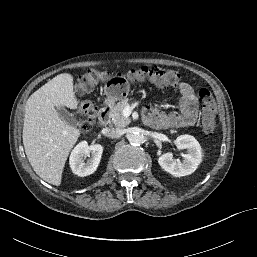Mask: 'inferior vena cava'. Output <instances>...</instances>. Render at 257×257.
Instances as JSON below:
<instances>
[{
	"label": "inferior vena cava",
	"mask_w": 257,
	"mask_h": 257,
	"mask_svg": "<svg viewBox=\"0 0 257 257\" xmlns=\"http://www.w3.org/2000/svg\"><path fill=\"white\" fill-rule=\"evenodd\" d=\"M105 133H106V136L114 139L119 138L122 135L120 129H114V128L105 129Z\"/></svg>",
	"instance_id": "1"
}]
</instances>
